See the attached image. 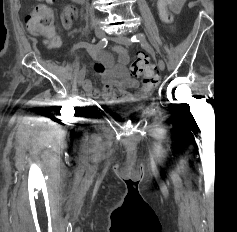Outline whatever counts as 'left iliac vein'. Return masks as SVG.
I'll return each instance as SVG.
<instances>
[{"label":"left iliac vein","mask_w":237,"mask_h":232,"mask_svg":"<svg viewBox=\"0 0 237 232\" xmlns=\"http://www.w3.org/2000/svg\"><path fill=\"white\" fill-rule=\"evenodd\" d=\"M112 39L121 45L128 46L131 44L129 38L125 35H116V36L112 37ZM158 66L161 71H163L165 69V63L163 62V60H159Z\"/></svg>","instance_id":"1"}]
</instances>
